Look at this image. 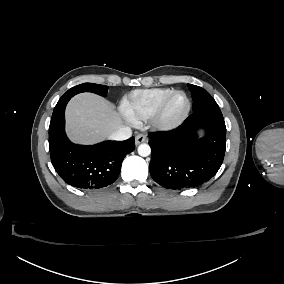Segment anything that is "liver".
<instances>
[{"label":"liver","instance_id":"obj_1","mask_svg":"<svg viewBox=\"0 0 284 284\" xmlns=\"http://www.w3.org/2000/svg\"><path fill=\"white\" fill-rule=\"evenodd\" d=\"M66 123L70 139L80 143L102 141L122 126L115 106L93 93H81L70 100Z\"/></svg>","mask_w":284,"mask_h":284}]
</instances>
